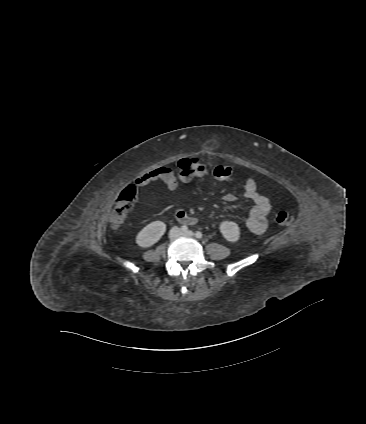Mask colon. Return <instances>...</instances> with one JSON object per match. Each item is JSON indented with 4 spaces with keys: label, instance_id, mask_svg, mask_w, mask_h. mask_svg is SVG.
Segmentation results:
<instances>
[{
    "label": "colon",
    "instance_id": "colon-1",
    "mask_svg": "<svg viewBox=\"0 0 366 424\" xmlns=\"http://www.w3.org/2000/svg\"><path fill=\"white\" fill-rule=\"evenodd\" d=\"M179 176L183 181L207 174L208 168L200 160L185 158L178 163ZM213 176L220 181H229L235 176V169L231 165H219L212 170ZM137 195V188L132 185L127 187L118 197L109 216V225L112 229H118L124 223L132 203ZM277 222L282 226H289L294 220V213L280 211L276 216Z\"/></svg>",
    "mask_w": 366,
    "mask_h": 424
}]
</instances>
